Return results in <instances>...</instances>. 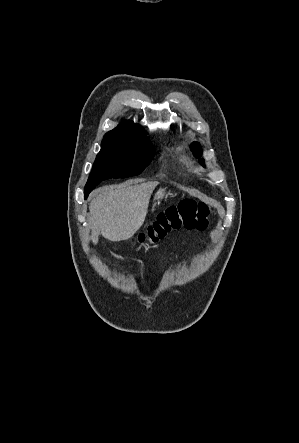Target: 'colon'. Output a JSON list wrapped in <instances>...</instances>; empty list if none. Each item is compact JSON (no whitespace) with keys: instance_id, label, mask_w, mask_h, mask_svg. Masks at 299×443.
Returning a JSON list of instances; mask_svg holds the SVG:
<instances>
[{"instance_id":"colon-1","label":"colon","mask_w":299,"mask_h":443,"mask_svg":"<svg viewBox=\"0 0 299 443\" xmlns=\"http://www.w3.org/2000/svg\"><path fill=\"white\" fill-rule=\"evenodd\" d=\"M212 207L204 202L185 199L160 212L156 219L133 240L147 246L163 239L169 232L179 229H204L209 223Z\"/></svg>"}]
</instances>
